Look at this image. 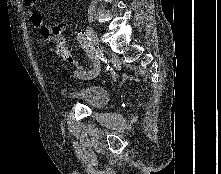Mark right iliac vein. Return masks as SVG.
I'll list each match as a JSON object with an SVG mask.
<instances>
[{
	"label": "right iliac vein",
	"mask_w": 221,
	"mask_h": 174,
	"mask_svg": "<svg viewBox=\"0 0 221 174\" xmlns=\"http://www.w3.org/2000/svg\"><path fill=\"white\" fill-rule=\"evenodd\" d=\"M86 34L87 36L90 38L91 40V45H92V49L91 52L94 53V49L98 48L100 43L97 37V34L95 33V31L91 28V27H87L86 28Z\"/></svg>",
	"instance_id": "right-iliac-vein-1"
}]
</instances>
